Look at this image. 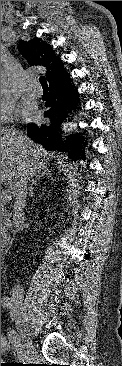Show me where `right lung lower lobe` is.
I'll list each match as a JSON object with an SVG mask.
<instances>
[{
  "label": "right lung lower lobe",
  "mask_w": 122,
  "mask_h": 366,
  "mask_svg": "<svg viewBox=\"0 0 122 366\" xmlns=\"http://www.w3.org/2000/svg\"><path fill=\"white\" fill-rule=\"evenodd\" d=\"M50 97L46 101L47 111L44 116L48 120L39 126H27L28 137L40 142L48 151L67 152L74 160L83 158L87 141L73 137L64 141L62 138L61 124L65 121L67 113L76 107L78 92L71 85L69 74L62 81L49 84ZM83 141V142H82Z\"/></svg>",
  "instance_id": "obj_1"
}]
</instances>
